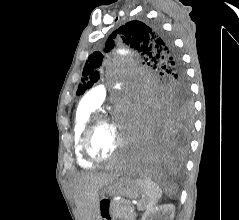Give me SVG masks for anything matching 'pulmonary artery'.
<instances>
[{
    "instance_id": "1",
    "label": "pulmonary artery",
    "mask_w": 239,
    "mask_h": 220,
    "mask_svg": "<svg viewBox=\"0 0 239 220\" xmlns=\"http://www.w3.org/2000/svg\"><path fill=\"white\" fill-rule=\"evenodd\" d=\"M106 89L104 85H98L90 89L81 99L80 105L84 108L95 110L104 101Z\"/></svg>"
}]
</instances>
